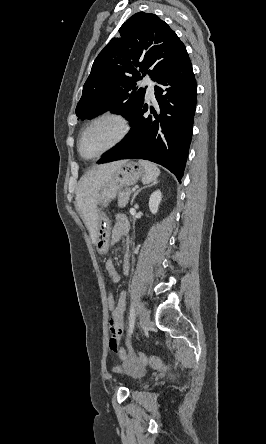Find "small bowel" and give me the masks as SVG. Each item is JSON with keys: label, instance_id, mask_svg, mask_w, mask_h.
<instances>
[{"label": "small bowel", "instance_id": "c3829d8e", "mask_svg": "<svg viewBox=\"0 0 266 444\" xmlns=\"http://www.w3.org/2000/svg\"><path fill=\"white\" fill-rule=\"evenodd\" d=\"M128 232V221L124 215H117L115 218L114 228L111 234V243H117ZM105 268L112 282L118 283L120 276L115 268V264L112 259H108L105 262ZM130 269V259L127 256L124 260V271L127 273ZM127 301V293L121 292L118 297L116 308L112 311L109 321V347L118 355L124 356L122 349L119 346V341L125 331V308ZM143 372V371H142ZM131 373L137 374L131 370Z\"/></svg>", "mask_w": 266, "mask_h": 444}]
</instances>
